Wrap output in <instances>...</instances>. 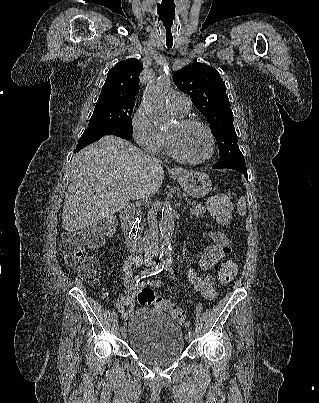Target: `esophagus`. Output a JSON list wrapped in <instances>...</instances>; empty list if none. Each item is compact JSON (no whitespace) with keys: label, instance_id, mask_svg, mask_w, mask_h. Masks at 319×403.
<instances>
[{"label":"esophagus","instance_id":"34e87169","mask_svg":"<svg viewBox=\"0 0 319 403\" xmlns=\"http://www.w3.org/2000/svg\"><path fill=\"white\" fill-rule=\"evenodd\" d=\"M172 170H173V171H179V169H178V168H173Z\"/></svg>","mask_w":319,"mask_h":403}]
</instances>
